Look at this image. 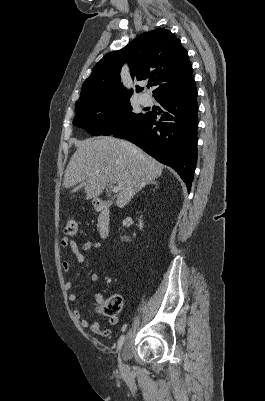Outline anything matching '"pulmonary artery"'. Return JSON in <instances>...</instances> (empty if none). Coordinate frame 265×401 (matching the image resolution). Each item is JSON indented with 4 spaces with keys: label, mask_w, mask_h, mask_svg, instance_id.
<instances>
[{
    "label": "pulmonary artery",
    "mask_w": 265,
    "mask_h": 401,
    "mask_svg": "<svg viewBox=\"0 0 265 401\" xmlns=\"http://www.w3.org/2000/svg\"><path fill=\"white\" fill-rule=\"evenodd\" d=\"M140 101L143 103H149L151 101V97H149V96L141 97Z\"/></svg>",
    "instance_id": "e3ab8cb5"
}]
</instances>
